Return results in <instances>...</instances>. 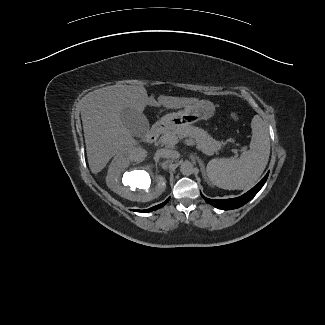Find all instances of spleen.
<instances>
[{"label": "spleen", "mask_w": 325, "mask_h": 325, "mask_svg": "<svg viewBox=\"0 0 325 325\" xmlns=\"http://www.w3.org/2000/svg\"><path fill=\"white\" fill-rule=\"evenodd\" d=\"M250 149L239 159H212L207 164L210 182L222 189L243 190L250 188L262 175L270 155V138L267 125L259 115L251 121Z\"/></svg>", "instance_id": "3e777b00"}]
</instances>
